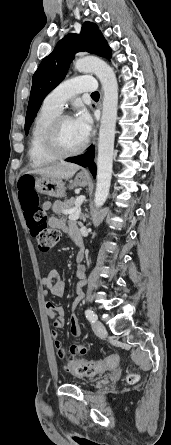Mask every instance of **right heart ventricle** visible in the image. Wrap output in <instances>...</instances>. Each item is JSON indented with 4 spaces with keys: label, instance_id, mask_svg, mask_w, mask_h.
Returning a JSON list of instances; mask_svg holds the SVG:
<instances>
[{
    "label": "right heart ventricle",
    "instance_id": "right-heart-ventricle-1",
    "mask_svg": "<svg viewBox=\"0 0 171 445\" xmlns=\"http://www.w3.org/2000/svg\"><path fill=\"white\" fill-rule=\"evenodd\" d=\"M59 114L60 111L45 104L38 112L33 124L28 150L29 160L33 166H44L57 159L45 151L43 141L47 126Z\"/></svg>",
    "mask_w": 171,
    "mask_h": 445
}]
</instances>
